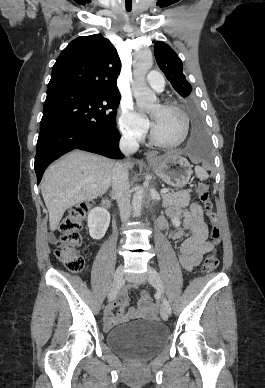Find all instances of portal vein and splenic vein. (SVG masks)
<instances>
[{
    "label": "portal vein and splenic vein",
    "mask_w": 265,
    "mask_h": 388,
    "mask_svg": "<svg viewBox=\"0 0 265 388\" xmlns=\"http://www.w3.org/2000/svg\"><path fill=\"white\" fill-rule=\"evenodd\" d=\"M161 194H166V192H169V188H164V190H160Z\"/></svg>",
    "instance_id": "portal-vein-and-splenic-vein-1"
}]
</instances>
